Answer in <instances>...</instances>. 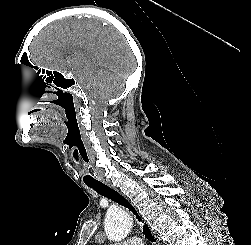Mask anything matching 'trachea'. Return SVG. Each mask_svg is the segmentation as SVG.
I'll use <instances>...</instances> for the list:
<instances>
[{
  "label": "trachea",
  "instance_id": "3493384b",
  "mask_svg": "<svg viewBox=\"0 0 251 245\" xmlns=\"http://www.w3.org/2000/svg\"><path fill=\"white\" fill-rule=\"evenodd\" d=\"M86 184L88 187L95 190L98 194H100L104 197H107L108 199L128 208L136 216V218L138 219L139 222L142 221L141 217L138 215L135 208L127 201L126 198H124L121 194H119L114 189L110 188L109 186H107L106 184H104L100 181L86 183ZM143 233L149 241L155 242V238L153 237V235L150 231V228L148 227L147 224L143 225Z\"/></svg>",
  "mask_w": 251,
  "mask_h": 245
}]
</instances>
